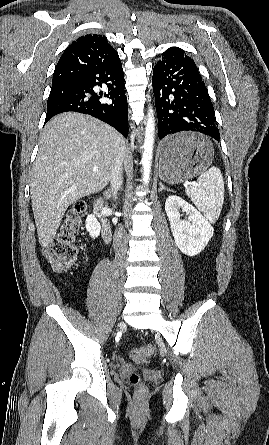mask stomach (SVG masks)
<instances>
[{
	"label": "stomach",
	"instance_id": "obj_1",
	"mask_svg": "<svg viewBox=\"0 0 269 445\" xmlns=\"http://www.w3.org/2000/svg\"><path fill=\"white\" fill-rule=\"evenodd\" d=\"M176 143L180 150L173 155L163 152L164 145ZM159 177L166 183L179 184L204 172L214 155L212 143L195 133H181L165 138L160 145Z\"/></svg>",
	"mask_w": 269,
	"mask_h": 445
}]
</instances>
